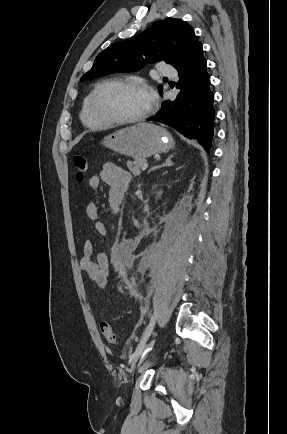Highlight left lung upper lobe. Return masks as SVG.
<instances>
[{"instance_id": "left-lung-upper-lobe-1", "label": "left lung upper lobe", "mask_w": 287, "mask_h": 434, "mask_svg": "<svg viewBox=\"0 0 287 434\" xmlns=\"http://www.w3.org/2000/svg\"><path fill=\"white\" fill-rule=\"evenodd\" d=\"M203 53L194 30L181 19L167 18L141 34L103 50L82 80L116 72H132L164 59L176 69ZM161 89V87H159Z\"/></svg>"}]
</instances>
